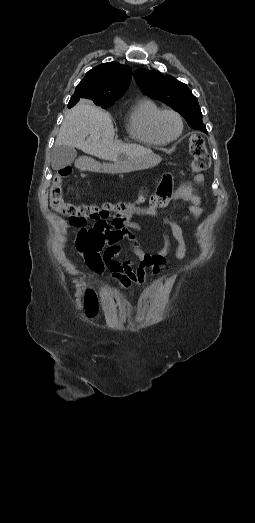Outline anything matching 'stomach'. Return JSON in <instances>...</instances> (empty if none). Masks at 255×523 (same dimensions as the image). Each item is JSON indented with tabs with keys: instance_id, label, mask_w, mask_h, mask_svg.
<instances>
[{
	"instance_id": "stomach-1",
	"label": "stomach",
	"mask_w": 255,
	"mask_h": 523,
	"mask_svg": "<svg viewBox=\"0 0 255 523\" xmlns=\"http://www.w3.org/2000/svg\"><path fill=\"white\" fill-rule=\"evenodd\" d=\"M159 159L153 152H148L145 158H135V160H126L124 164L110 165L108 173L110 176H119L121 172H137V170H147L158 166Z\"/></svg>"
}]
</instances>
